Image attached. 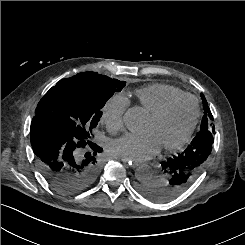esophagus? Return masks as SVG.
Here are the masks:
<instances>
[{"label": "esophagus", "instance_id": "34e87169", "mask_svg": "<svg viewBox=\"0 0 245 245\" xmlns=\"http://www.w3.org/2000/svg\"><path fill=\"white\" fill-rule=\"evenodd\" d=\"M121 161L123 163H126V166L129 167V168H132V169H134V168L139 166L138 162H135V161H132V160L121 158Z\"/></svg>", "mask_w": 245, "mask_h": 245}]
</instances>
